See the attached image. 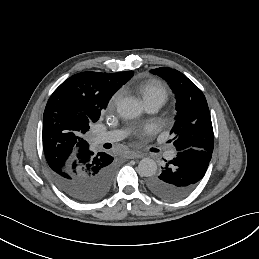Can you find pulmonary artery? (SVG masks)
Returning a JSON list of instances; mask_svg holds the SVG:
<instances>
[{"mask_svg":"<svg viewBox=\"0 0 259 259\" xmlns=\"http://www.w3.org/2000/svg\"><path fill=\"white\" fill-rule=\"evenodd\" d=\"M163 104H164V102L160 99L150 100V101L145 102V108L149 112H156L162 107ZM124 137H125V132H123V131H120V130H113V131L103 130L96 136V141H97V143L116 142V141L121 140ZM174 157H175V151L174 150L168 149L165 152V158L167 160H173Z\"/></svg>","mask_w":259,"mask_h":259,"instance_id":"pulmonary-artery-1","label":"pulmonary artery"}]
</instances>
